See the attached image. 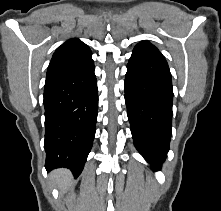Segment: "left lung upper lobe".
I'll return each mask as SVG.
<instances>
[{"mask_svg":"<svg viewBox=\"0 0 221 211\" xmlns=\"http://www.w3.org/2000/svg\"><path fill=\"white\" fill-rule=\"evenodd\" d=\"M133 51L146 52L164 58V56L158 51V49L148 41H142L141 43H138Z\"/></svg>","mask_w":221,"mask_h":211,"instance_id":"1","label":"left lung upper lobe"}]
</instances>
